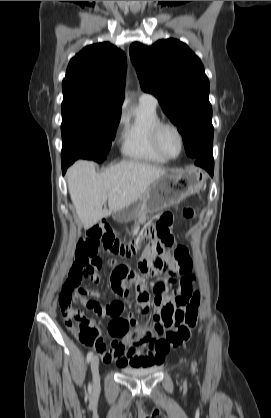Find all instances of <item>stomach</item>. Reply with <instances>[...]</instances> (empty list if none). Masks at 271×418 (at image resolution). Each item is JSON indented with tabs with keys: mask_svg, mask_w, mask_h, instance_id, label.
I'll list each match as a JSON object with an SVG mask.
<instances>
[{
	"mask_svg": "<svg viewBox=\"0 0 271 418\" xmlns=\"http://www.w3.org/2000/svg\"><path fill=\"white\" fill-rule=\"evenodd\" d=\"M207 174L199 167L189 166L176 174L166 173L157 178L135 202L114 214L118 222L133 219L140 212L164 210L186 197L200 192L206 185Z\"/></svg>",
	"mask_w": 271,
	"mask_h": 418,
	"instance_id": "stomach-1",
	"label": "stomach"
}]
</instances>
